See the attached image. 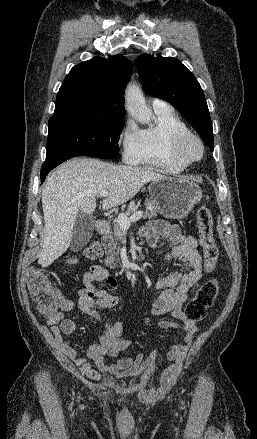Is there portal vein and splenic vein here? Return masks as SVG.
<instances>
[{
	"instance_id": "18ae733b",
	"label": "portal vein and splenic vein",
	"mask_w": 257,
	"mask_h": 439,
	"mask_svg": "<svg viewBox=\"0 0 257 439\" xmlns=\"http://www.w3.org/2000/svg\"><path fill=\"white\" fill-rule=\"evenodd\" d=\"M107 190H103L100 192L101 197H106L108 195ZM143 215L142 211H136L131 217L125 216L123 213H120L117 217V221L122 228H129L131 222L138 221Z\"/></svg>"
}]
</instances>
